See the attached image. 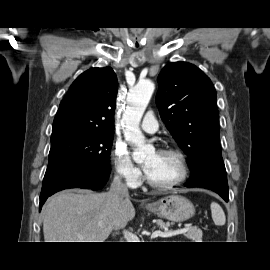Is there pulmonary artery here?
Wrapping results in <instances>:
<instances>
[{"instance_id":"obj_1","label":"pulmonary artery","mask_w":270,"mask_h":270,"mask_svg":"<svg viewBox=\"0 0 270 270\" xmlns=\"http://www.w3.org/2000/svg\"><path fill=\"white\" fill-rule=\"evenodd\" d=\"M141 128L148 133H154L158 130V122L152 112L146 113Z\"/></svg>"}]
</instances>
